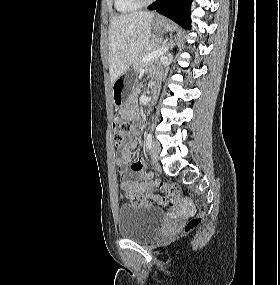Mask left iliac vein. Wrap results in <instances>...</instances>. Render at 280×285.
<instances>
[{"mask_svg":"<svg viewBox=\"0 0 280 285\" xmlns=\"http://www.w3.org/2000/svg\"><path fill=\"white\" fill-rule=\"evenodd\" d=\"M160 145L158 142H153L150 149L151 160L155 165L159 162Z\"/></svg>","mask_w":280,"mask_h":285,"instance_id":"obj_1","label":"left iliac vein"}]
</instances>
